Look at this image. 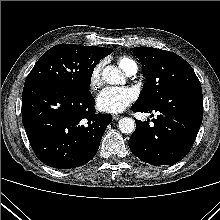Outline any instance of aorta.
<instances>
[{"label":"aorta","mask_w":220,"mask_h":220,"mask_svg":"<svg viewBox=\"0 0 220 220\" xmlns=\"http://www.w3.org/2000/svg\"><path fill=\"white\" fill-rule=\"evenodd\" d=\"M102 78L110 85L121 84L124 81L121 70L113 65H108L103 69ZM118 127L122 133L131 134L135 131L136 125L132 118L124 117L119 120Z\"/></svg>","instance_id":"1"}]
</instances>
